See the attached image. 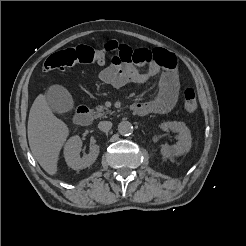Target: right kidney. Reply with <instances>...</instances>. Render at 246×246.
Segmentation results:
<instances>
[{"label":"right kidney","instance_id":"ca27d5eb","mask_svg":"<svg viewBox=\"0 0 246 246\" xmlns=\"http://www.w3.org/2000/svg\"><path fill=\"white\" fill-rule=\"evenodd\" d=\"M82 141L78 135L71 137L64 147V157L67 165L74 170H81L90 167L99 155V146H90L88 155L80 157Z\"/></svg>","mask_w":246,"mask_h":246}]
</instances>
